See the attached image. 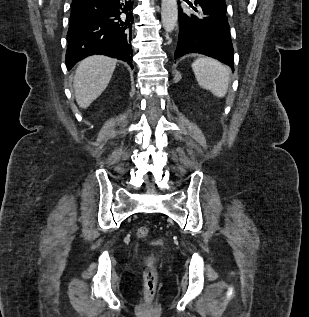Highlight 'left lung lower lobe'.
Instances as JSON below:
<instances>
[{
  "label": "left lung lower lobe",
  "instance_id": "0a47b994",
  "mask_svg": "<svg viewBox=\"0 0 309 317\" xmlns=\"http://www.w3.org/2000/svg\"><path fill=\"white\" fill-rule=\"evenodd\" d=\"M195 13L178 9L179 38L175 58L200 53L229 65L234 70V49L226 6L195 1Z\"/></svg>",
  "mask_w": 309,
  "mask_h": 317
}]
</instances>
